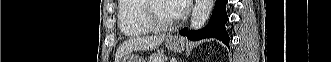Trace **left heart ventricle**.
Masks as SVG:
<instances>
[{"mask_svg":"<svg viewBox=\"0 0 331 62\" xmlns=\"http://www.w3.org/2000/svg\"><path fill=\"white\" fill-rule=\"evenodd\" d=\"M153 12L162 22H171L176 19L170 1H155L153 5Z\"/></svg>","mask_w":331,"mask_h":62,"instance_id":"b2bd125f","label":"left heart ventricle"}]
</instances>
